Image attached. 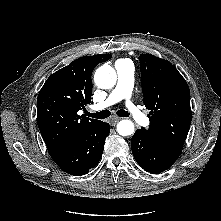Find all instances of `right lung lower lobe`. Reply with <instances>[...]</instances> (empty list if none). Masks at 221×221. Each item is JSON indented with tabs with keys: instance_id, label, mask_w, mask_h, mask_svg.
<instances>
[{
	"instance_id": "obj_1",
	"label": "right lung lower lobe",
	"mask_w": 221,
	"mask_h": 221,
	"mask_svg": "<svg viewBox=\"0 0 221 221\" xmlns=\"http://www.w3.org/2000/svg\"><path fill=\"white\" fill-rule=\"evenodd\" d=\"M109 132V124L100 121L51 158L66 173L84 175L99 162Z\"/></svg>"
}]
</instances>
